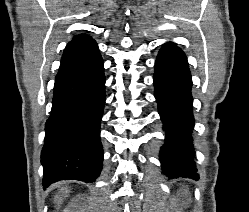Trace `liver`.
Segmentation results:
<instances>
[{
	"label": "liver",
	"instance_id": "1",
	"mask_svg": "<svg viewBox=\"0 0 249 212\" xmlns=\"http://www.w3.org/2000/svg\"><path fill=\"white\" fill-rule=\"evenodd\" d=\"M61 190L62 192H60V194H64V198H68V188H61ZM64 198H61V196H55L54 202L57 204V206H55L56 210H59L60 204H62Z\"/></svg>",
	"mask_w": 249,
	"mask_h": 212
}]
</instances>
